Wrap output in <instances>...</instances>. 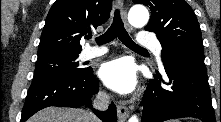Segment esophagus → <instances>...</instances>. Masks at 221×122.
I'll list each match as a JSON object with an SVG mask.
<instances>
[{
	"instance_id": "obj_1",
	"label": "esophagus",
	"mask_w": 221,
	"mask_h": 122,
	"mask_svg": "<svg viewBox=\"0 0 221 122\" xmlns=\"http://www.w3.org/2000/svg\"><path fill=\"white\" fill-rule=\"evenodd\" d=\"M119 9L121 12V17L123 19L125 27L130 30V26L127 22V8L123 0H118ZM117 116L120 122L126 121L129 116L128 107L124 103H117Z\"/></svg>"
}]
</instances>
